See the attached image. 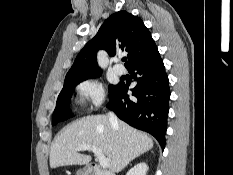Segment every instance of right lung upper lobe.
I'll return each instance as SVG.
<instances>
[{"label":"right lung upper lobe","instance_id":"right-lung-upper-lobe-1","mask_svg":"<svg viewBox=\"0 0 233 175\" xmlns=\"http://www.w3.org/2000/svg\"><path fill=\"white\" fill-rule=\"evenodd\" d=\"M105 50L110 56L128 52L126 68L157 52L155 42L143 21L127 11L112 14L100 27L97 35L80 51L65 81L98 75L97 51Z\"/></svg>","mask_w":233,"mask_h":175}]
</instances>
